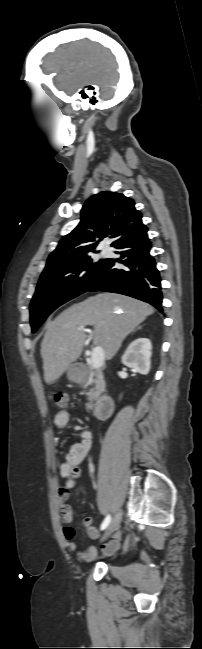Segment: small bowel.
Masks as SVG:
<instances>
[{
    "label": "small bowel",
    "instance_id": "1",
    "mask_svg": "<svg viewBox=\"0 0 202 649\" xmlns=\"http://www.w3.org/2000/svg\"><path fill=\"white\" fill-rule=\"evenodd\" d=\"M71 414L67 410H62L56 413L54 417V424L59 428H64L68 425ZM91 448V434L88 431H83L79 434V441L71 445L63 464L60 467L61 479L64 481V486L58 490L57 498L59 502V511L61 519L65 526L62 529V534L67 541V547L74 551L77 549V544L74 541L75 529L70 526L73 520V510L68 504V499L71 490L76 486V479L80 475V465L88 455ZM84 526L88 536L91 539L100 537L97 527H95L89 518H84ZM120 545V532L117 531L112 539L101 545V557L113 554ZM97 557V552L94 548H87L78 551L77 559L79 562H90Z\"/></svg>",
    "mask_w": 202,
    "mask_h": 649
}]
</instances>
